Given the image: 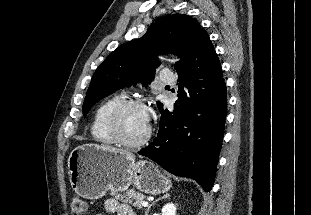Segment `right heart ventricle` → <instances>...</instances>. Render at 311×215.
<instances>
[{
    "instance_id": "1",
    "label": "right heart ventricle",
    "mask_w": 311,
    "mask_h": 215,
    "mask_svg": "<svg viewBox=\"0 0 311 215\" xmlns=\"http://www.w3.org/2000/svg\"><path fill=\"white\" fill-rule=\"evenodd\" d=\"M125 98L124 94H115L97 106L91 123V135L96 142L106 145L116 143L108 128V117L112 109Z\"/></svg>"
}]
</instances>
